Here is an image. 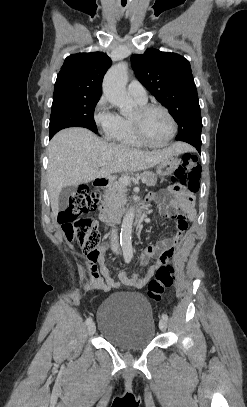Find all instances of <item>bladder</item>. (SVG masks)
<instances>
[{"label":"bladder","instance_id":"1","mask_svg":"<svg viewBox=\"0 0 247 407\" xmlns=\"http://www.w3.org/2000/svg\"><path fill=\"white\" fill-rule=\"evenodd\" d=\"M97 322L102 337L126 352L144 349L155 337L151 304L135 291L107 297L98 308Z\"/></svg>","mask_w":247,"mask_h":407}]
</instances>
